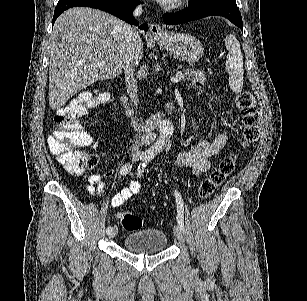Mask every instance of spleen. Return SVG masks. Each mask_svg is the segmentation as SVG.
<instances>
[{
    "label": "spleen",
    "mask_w": 307,
    "mask_h": 301,
    "mask_svg": "<svg viewBox=\"0 0 307 301\" xmlns=\"http://www.w3.org/2000/svg\"><path fill=\"white\" fill-rule=\"evenodd\" d=\"M225 46L228 50L225 64L229 74V86L233 92H241L244 74L243 54L235 34H227Z\"/></svg>",
    "instance_id": "3e777b00"
}]
</instances>
